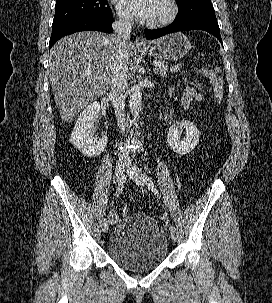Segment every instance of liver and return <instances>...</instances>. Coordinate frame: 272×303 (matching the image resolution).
I'll list each match as a JSON object with an SVG mask.
<instances>
[{
    "mask_svg": "<svg viewBox=\"0 0 272 303\" xmlns=\"http://www.w3.org/2000/svg\"><path fill=\"white\" fill-rule=\"evenodd\" d=\"M132 49L128 43V54ZM115 55L113 35L96 31L65 36L52 47L48 66L50 82L64 122L71 121L106 93L111 85Z\"/></svg>",
    "mask_w": 272,
    "mask_h": 303,
    "instance_id": "obj_1",
    "label": "liver"
}]
</instances>
